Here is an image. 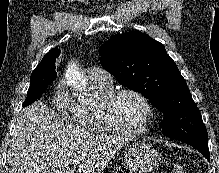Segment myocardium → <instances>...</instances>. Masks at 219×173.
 <instances>
[{
	"mask_svg": "<svg viewBox=\"0 0 219 173\" xmlns=\"http://www.w3.org/2000/svg\"><path fill=\"white\" fill-rule=\"evenodd\" d=\"M124 94H131L136 96L142 101L145 106V120L142 127L138 130L128 131L121 128L115 118L114 106L117 100ZM101 112L105 122L110 127V129L114 133L127 138H136L144 135L150 129L154 117V108L148 97L142 92L128 87L114 89L111 93L104 97L101 101Z\"/></svg>",
	"mask_w": 219,
	"mask_h": 173,
	"instance_id": "f54148a6",
	"label": "myocardium"
}]
</instances>
